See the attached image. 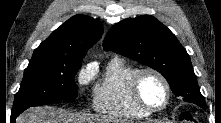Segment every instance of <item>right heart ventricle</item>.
Returning <instances> with one entry per match:
<instances>
[{"label":"right heart ventricle","mask_w":221,"mask_h":123,"mask_svg":"<svg viewBox=\"0 0 221 123\" xmlns=\"http://www.w3.org/2000/svg\"><path fill=\"white\" fill-rule=\"evenodd\" d=\"M138 69L121 58L111 59L93 88V108L113 119H145L130 93V80Z\"/></svg>","instance_id":"right-heart-ventricle-1"}]
</instances>
